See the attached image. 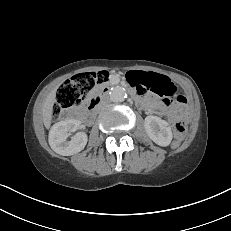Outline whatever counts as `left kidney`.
<instances>
[{
  "instance_id": "1",
  "label": "left kidney",
  "mask_w": 231,
  "mask_h": 231,
  "mask_svg": "<svg viewBox=\"0 0 231 231\" xmlns=\"http://www.w3.org/2000/svg\"><path fill=\"white\" fill-rule=\"evenodd\" d=\"M144 127L149 138L159 146H168L173 138L169 124L157 116H147Z\"/></svg>"
}]
</instances>
